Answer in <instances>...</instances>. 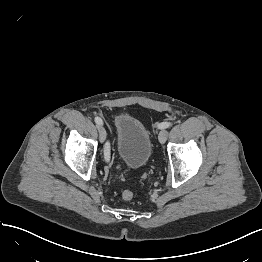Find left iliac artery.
I'll list each match as a JSON object with an SVG mask.
<instances>
[{"label":"left iliac artery","mask_w":262,"mask_h":262,"mask_svg":"<svg viewBox=\"0 0 262 262\" xmlns=\"http://www.w3.org/2000/svg\"><path fill=\"white\" fill-rule=\"evenodd\" d=\"M171 124L169 122H162L158 125L160 129L168 128Z\"/></svg>","instance_id":"44dca946"}]
</instances>
